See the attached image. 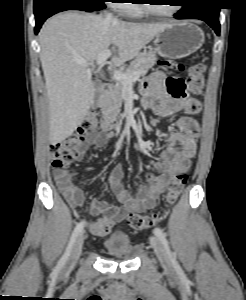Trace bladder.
Returning <instances> with one entry per match:
<instances>
[{"label":"bladder","mask_w":246,"mask_h":300,"mask_svg":"<svg viewBox=\"0 0 246 300\" xmlns=\"http://www.w3.org/2000/svg\"><path fill=\"white\" fill-rule=\"evenodd\" d=\"M103 245L108 254L124 260L133 259L137 253L130 236L122 230H116L105 237Z\"/></svg>","instance_id":"bladder-1"}]
</instances>
